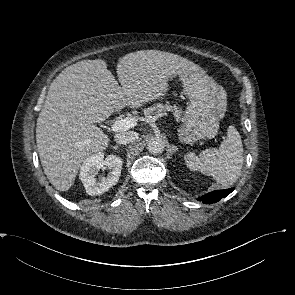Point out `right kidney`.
I'll list each match as a JSON object with an SVG mask.
<instances>
[{
  "label": "right kidney",
  "mask_w": 295,
  "mask_h": 295,
  "mask_svg": "<svg viewBox=\"0 0 295 295\" xmlns=\"http://www.w3.org/2000/svg\"><path fill=\"white\" fill-rule=\"evenodd\" d=\"M123 161L119 156L98 152L85 159L80 169V180L89 195H100L115 185L120 177ZM100 169H108L106 177L97 181L96 172Z\"/></svg>",
  "instance_id": "obj_1"
}]
</instances>
